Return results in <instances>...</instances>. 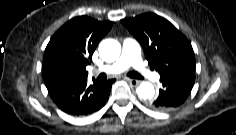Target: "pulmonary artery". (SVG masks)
<instances>
[{"instance_id":"pulmonary-artery-1","label":"pulmonary artery","mask_w":236,"mask_h":135,"mask_svg":"<svg viewBox=\"0 0 236 135\" xmlns=\"http://www.w3.org/2000/svg\"><path fill=\"white\" fill-rule=\"evenodd\" d=\"M129 67H133L141 76L155 80L160 78L159 74L152 73L142 61L139 44L133 38H127L124 40L123 53L121 57L110 66H107L105 70L109 73H120Z\"/></svg>"}]
</instances>
